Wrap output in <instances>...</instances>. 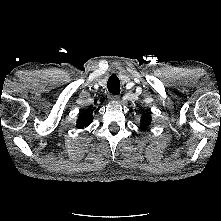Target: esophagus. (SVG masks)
<instances>
[{"label": "esophagus", "mask_w": 221, "mask_h": 221, "mask_svg": "<svg viewBox=\"0 0 221 221\" xmlns=\"http://www.w3.org/2000/svg\"><path fill=\"white\" fill-rule=\"evenodd\" d=\"M111 99H113L114 101H117L119 99L118 95H112Z\"/></svg>", "instance_id": "obj_1"}]
</instances>
